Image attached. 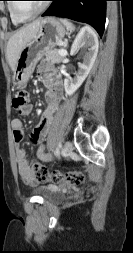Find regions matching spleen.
<instances>
[{"label": "spleen", "mask_w": 133, "mask_h": 253, "mask_svg": "<svg viewBox=\"0 0 133 253\" xmlns=\"http://www.w3.org/2000/svg\"><path fill=\"white\" fill-rule=\"evenodd\" d=\"M61 22L66 26L67 29H69L70 31H73L75 29L74 25L69 22L66 19H61Z\"/></svg>", "instance_id": "3e777b00"}]
</instances>
